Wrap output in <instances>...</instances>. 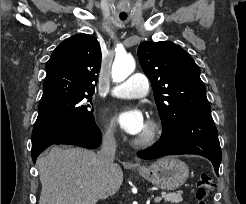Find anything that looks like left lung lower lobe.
Wrapping results in <instances>:
<instances>
[{"instance_id": "1", "label": "left lung lower lobe", "mask_w": 246, "mask_h": 204, "mask_svg": "<svg viewBox=\"0 0 246 204\" xmlns=\"http://www.w3.org/2000/svg\"><path fill=\"white\" fill-rule=\"evenodd\" d=\"M179 154L206 157L212 162L218 175L222 155L217 129L211 115L176 120L169 128L163 129L160 140L153 147L137 153L142 159Z\"/></svg>"}]
</instances>
